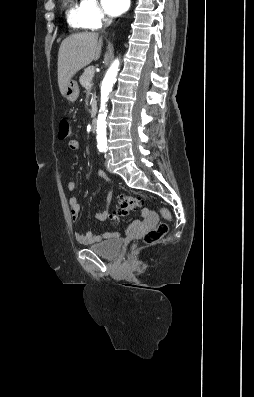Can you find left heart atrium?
I'll list each match as a JSON object with an SVG mask.
<instances>
[{
  "mask_svg": "<svg viewBox=\"0 0 254 397\" xmlns=\"http://www.w3.org/2000/svg\"><path fill=\"white\" fill-rule=\"evenodd\" d=\"M102 4L108 14L116 16L127 9L129 0H102Z\"/></svg>",
  "mask_w": 254,
  "mask_h": 397,
  "instance_id": "left-heart-atrium-1",
  "label": "left heart atrium"
}]
</instances>
